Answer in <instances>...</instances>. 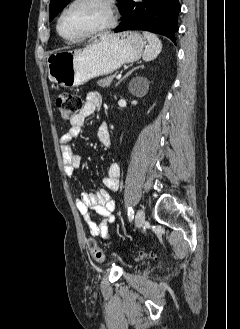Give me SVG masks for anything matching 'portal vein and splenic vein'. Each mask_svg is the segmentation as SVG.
Wrapping results in <instances>:
<instances>
[{"label": "portal vein and splenic vein", "instance_id": "18ae733b", "mask_svg": "<svg viewBox=\"0 0 240 329\" xmlns=\"http://www.w3.org/2000/svg\"><path fill=\"white\" fill-rule=\"evenodd\" d=\"M121 77H122V75L121 74H118L117 77H116V79L119 80V79H121Z\"/></svg>", "mask_w": 240, "mask_h": 329}]
</instances>
